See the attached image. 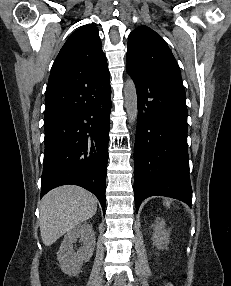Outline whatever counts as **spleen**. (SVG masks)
Returning a JSON list of instances; mask_svg holds the SVG:
<instances>
[{"label": "spleen", "mask_w": 231, "mask_h": 286, "mask_svg": "<svg viewBox=\"0 0 231 286\" xmlns=\"http://www.w3.org/2000/svg\"><path fill=\"white\" fill-rule=\"evenodd\" d=\"M171 203H172L171 199H164L163 201V205H165L166 207H169Z\"/></svg>", "instance_id": "1"}]
</instances>
